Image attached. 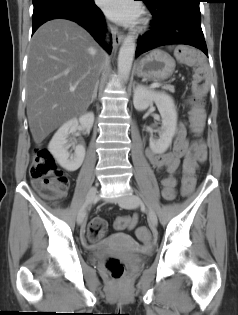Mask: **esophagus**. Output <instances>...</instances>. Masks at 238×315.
Listing matches in <instances>:
<instances>
[{
    "mask_svg": "<svg viewBox=\"0 0 238 315\" xmlns=\"http://www.w3.org/2000/svg\"><path fill=\"white\" fill-rule=\"evenodd\" d=\"M123 39H124V35L122 34V33H114V35H113V46H114V48H117L120 44H121V42L123 41Z\"/></svg>",
    "mask_w": 238,
    "mask_h": 315,
    "instance_id": "esophagus-1",
    "label": "esophagus"
}]
</instances>
